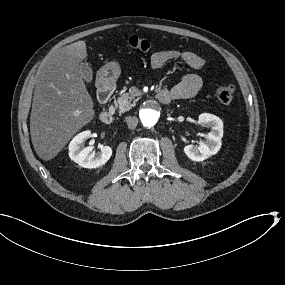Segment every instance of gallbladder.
<instances>
[{"instance_id":"bac80fb5","label":"gallbladder","mask_w":285,"mask_h":285,"mask_svg":"<svg viewBox=\"0 0 285 285\" xmlns=\"http://www.w3.org/2000/svg\"><path fill=\"white\" fill-rule=\"evenodd\" d=\"M81 69V76L86 82H92L93 81V71L91 67L88 64H82L80 65Z\"/></svg>"}]
</instances>
